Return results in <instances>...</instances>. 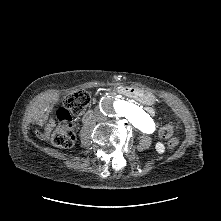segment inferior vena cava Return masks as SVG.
<instances>
[{"label":"inferior vena cava","instance_id":"inferior-vena-cava-1","mask_svg":"<svg viewBox=\"0 0 221 221\" xmlns=\"http://www.w3.org/2000/svg\"><path fill=\"white\" fill-rule=\"evenodd\" d=\"M97 119H98V120H106V116L103 115L102 113H98V114H97Z\"/></svg>","mask_w":221,"mask_h":221}]
</instances>
